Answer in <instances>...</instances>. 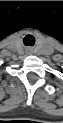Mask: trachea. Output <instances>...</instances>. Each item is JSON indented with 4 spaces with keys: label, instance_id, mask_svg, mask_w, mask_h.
Listing matches in <instances>:
<instances>
[{
    "label": "trachea",
    "instance_id": "trachea-1",
    "mask_svg": "<svg viewBox=\"0 0 63 123\" xmlns=\"http://www.w3.org/2000/svg\"><path fill=\"white\" fill-rule=\"evenodd\" d=\"M23 42L25 46H33L35 44V38L34 36L28 34L24 37Z\"/></svg>",
    "mask_w": 63,
    "mask_h": 123
}]
</instances>
